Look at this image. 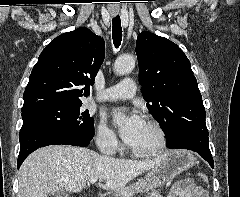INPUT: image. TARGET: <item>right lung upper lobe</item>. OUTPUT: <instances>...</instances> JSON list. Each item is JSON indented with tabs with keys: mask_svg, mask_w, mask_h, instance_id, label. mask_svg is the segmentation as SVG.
Returning a JSON list of instances; mask_svg holds the SVG:
<instances>
[{
	"mask_svg": "<svg viewBox=\"0 0 240 197\" xmlns=\"http://www.w3.org/2000/svg\"><path fill=\"white\" fill-rule=\"evenodd\" d=\"M104 40L88 28L56 37L41 52L24 92L22 110L50 103H82L105 57Z\"/></svg>",
	"mask_w": 240,
	"mask_h": 197,
	"instance_id": "1",
	"label": "right lung upper lobe"
}]
</instances>
